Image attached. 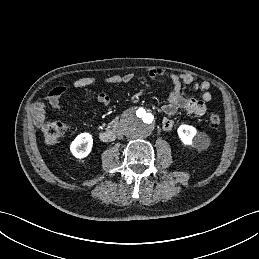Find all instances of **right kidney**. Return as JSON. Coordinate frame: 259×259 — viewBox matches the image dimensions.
Segmentation results:
<instances>
[{"label": "right kidney", "mask_w": 259, "mask_h": 259, "mask_svg": "<svg viewBox=\"0 0 259 259\" xmlns=\"http://www.w3.org/2000/svg\"><path fill=\"white\" fill-rule=\"evenodd\" d=\"M93 145L92 135L89 133L79 134L70 145V151L78 159L85 158L91 152Z\"/></svg>", "instance_id": "obj_1"}]
</instances>
